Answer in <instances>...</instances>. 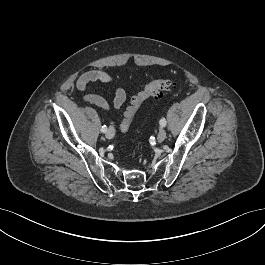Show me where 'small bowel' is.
Masks as SVG:
<instances>
[{
  "label": "small bowel",
  "mask_w": 265,
  "mask_h": 265,
  "mask_svg": "<svg viewBox=\"0 0 265 265\" xmlns=\"http://www.w3.org/2000/svg\"><path fill=\"white\" fill-rule=\"evenodd\" d=\"M93 82L120 84L121 81L103 70L86 71L77 79V88L81 91H88L84 96L86 102L103 110H109L110 104L108 101L99 94L90 91V84ZM126 98L125 90L121 87L116 88L114 91L113 107L117 110L120 109L125 103Z\"/></svg>",
  "instance_id": "c3829d8e"
}]
</instances>
